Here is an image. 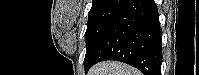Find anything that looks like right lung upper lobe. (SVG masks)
<instances>
[{
	"label": "right lung upper lobe",
	"mask_w": 199,
	"mask_h": 75,
	"mask_svg": "<svg viewBox=\"0 0 199 75\" xmlns=\"http://www.w3.org/2000/svg\"><path fill=\"white\" fill-rule=\"evenodd\" d=\"M107 1H109V0H93L92 1V7L96 6V5H99V4H102V3H105Z\"/></svg>",
	"instance_id": "1"
}]
</instances>
